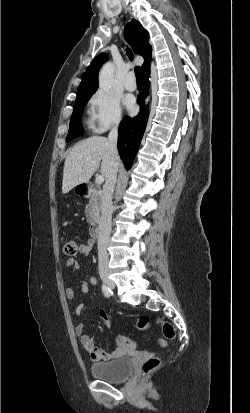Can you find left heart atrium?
<instances>
[{
  "label": "left heart atrium",
  "mask_w": 250,
  "mask_h": 413,
  "mask_svg": "<svg viewBox=\"0 0 250 413\" xmlns=\"http://www.w3.org/2000/svg\"><path fill=\"white\" fill-rule=\"evenodd\" d=\"M125 105L129 110H132L135 105L134 99L132 97H127L125 99Z\"/></svg>",
  "instance_id": "39dd6f15"
}]
</instances>
